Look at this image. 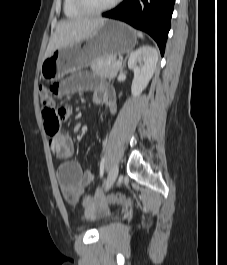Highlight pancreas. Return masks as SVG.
Segmentation results:
<instances>
[{
	"mask_svg": "<svg viewBox=\"0 0 227 265\" xmlns=\"http://www.w3.org/2000/svg\"><path fill=\"white\" fill-rule=\"evenodd\" d=\"M116 58H100L91 63V70L100 76L108 79H114L119 71V66L116 65Z\"/></svg>",
	"mask_w": 227,
	"mask_h": 265,
	"instance_id": "1",
	"label": "pancreas"
}]
</instances>
